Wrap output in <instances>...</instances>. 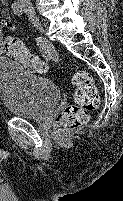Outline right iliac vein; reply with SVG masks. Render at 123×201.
I'll return each mask as SVG.
<instances>
[{
	"instance_id": "obj_1",
	"label": "right iliac vein",
	"mask_w": 123,
	"mask_h": 201,
	"mask_svg": "<svg viewBox=\"0 0 123 201\" xmlns=\"http://www.w3.org/2000/svg\"><path fill=\"white\" fill-rule=\"evenodd\" d=\"M27 14H28V17H29V20L32 22V24L34 25V27L43 32L44 31V28L39 20V18L37 17L35 11L31 8H27Z\"/></svg>"
}]
</instances>
